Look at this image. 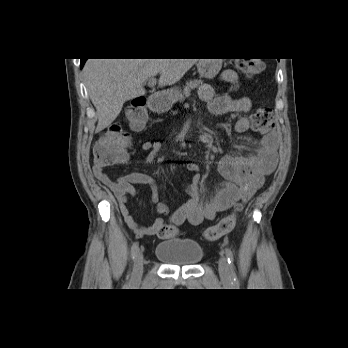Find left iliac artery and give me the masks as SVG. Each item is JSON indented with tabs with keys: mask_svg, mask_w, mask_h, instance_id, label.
Here are the masks:
<instances>
[{
	"mask_svg": "<svg viewBox=\"0 0 348 348\" xmlns=\"http://www.w3.org/2000/svg\"><path fill=\"white\" fill-rule=\"evenodd\" d=\"M225 254H226V258L230 267V273H231V277H232V281L234 283V285L238 284V279L235 273V266H234V256L232 251L229 248H226L225 250Z\"/></svg>",
	"mask_w": 348,
	"mask_h": 348,
	"instance_id": "44dca946",
	"label": "left iliac artery"
}]
</instances>
